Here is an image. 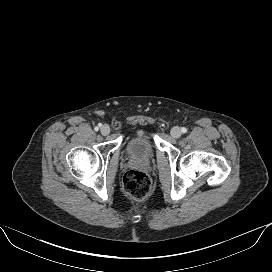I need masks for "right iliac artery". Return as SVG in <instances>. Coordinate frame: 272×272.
I'll use <instances>...</instances> for the list:
<instances>
[{"mask_svg": "<svg viewBox=\"0 0 272 272\" xmlns=\"http://www.w3.org/2000/svg\"><path fill=\"white\" fill-rule=\"evenodd\" d=\"M99 127H101V124H99L98 127L95 128V130L98 131Z\"/></svg>", "mask_w": 272, "mask_h": 272, "instance_id": "right-iliac-artery-1", "label": "right iliac artery"}]
</instances>
